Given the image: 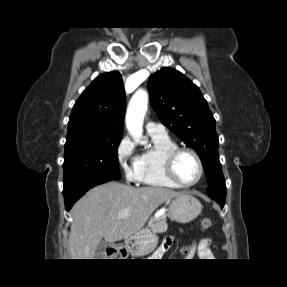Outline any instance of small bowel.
Segmentation results:
<instances>
[{
	"instance_id": "small-bowel-1",
	"label": "small bowel",
	"mask_w": 287,
	"mask_h": 287,
	"mask_svg": "<svg viewBox=\"0 0 287 287\" xmlns=\"http://www.w3.org/2000/svg\"><path fill=\"white\" fill-rule=\"evenodd\" d=\"M174 241H175V238L173 236H170L164 239L154 255L157 257L163 255L165 252L169 250V248L172 246ZM210 245H211V239L205 238V239L200 240L198 243L194 245L189 256H193L194 253L197 252L201 258L210 257L211 256Z\"/></svg>"
}]
</instances>
